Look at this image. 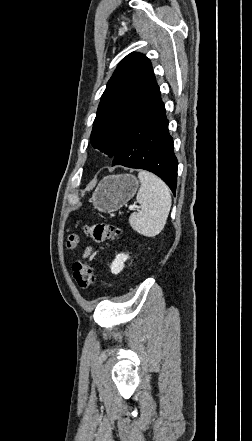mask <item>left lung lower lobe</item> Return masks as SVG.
<instances>
[{
  "label": "left lung lower lobe",
  "instance_id": "obj_1",
  "mask_svg": "<svg viewBox=\"0 0 252 441\" xmlns=\"http://www.w3.org/2000/svg\"><path fill=\"white\" fill-rule=\"evenodd\" d=\"M160 97L155 80L145 105L132 122L112 164L150 171L175 194L178 162Z\"/></svg>",
  "mask_w": 252,
  "mask_h": 441
}]
</instances>
